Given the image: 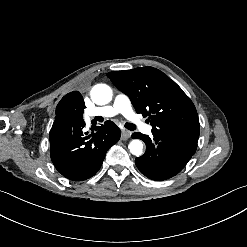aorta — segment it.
Returning <instances> with one entry per match:
<instances>
[{"label":"aorta","mask_w":247,"mask_h":247,"mask_svg":"<svg viewBox=\"0 0 247 247\" xmlns=\"http://www.w3.org/2000/svg\"><path fill=\"white\" fill-rule=\"evenodd\" d=\"M91 99L98 105H105L112 99V89L106 84H97L91 90ZM128 148L135 156L143 154V143L138 139L132 140Z\"/></svg>","instance_id":"1"}]
</instances>
